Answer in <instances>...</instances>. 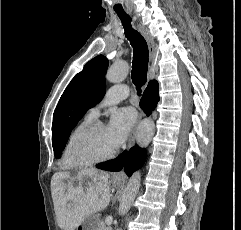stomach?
<instances>
[{
	"label": "stomach",
	"instance_id": "stomach-1",
	"mask_svg": "<svg viewBox=\"0 0 241 230\" xmlns=\"http://www.w3.org/2000/svg\"><path fill=\"white\" fill-rule=\"evenodd\" d=\"M93 177L90 175L83 176V185L86 186L88 182H92ZM120 182H115V185H119ZM99 219L95 215L87 216L84 221L76 228V230H98Z\"/></svg>",
	"mask_w": 241,
	"mask_h": 230
}]
</instances>
